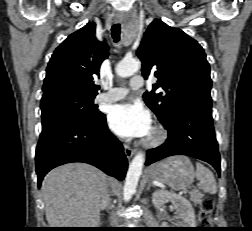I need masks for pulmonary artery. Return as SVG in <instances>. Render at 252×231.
Returning <instances> with one entry per match:
<instances>
[{
    "mask_svg": "<svg viewBox=\"0 0 252 231\" xmlns=\"http://www.w3.org/2000/svg\"><path fill=\"white\" fill-rule=\"evenodd\" d=\"M144 79L141 75L133 76L129 81L131 89H139L144 86ZM129 92L128 88L125 87H114L111 88L107 93L99 94L96 97L98 103H111L124 98Z\"/></svg>",
    "mask_w": 252,
    "mask_h": 231,
    "instance_id": "e3ab8cb5",
    "label": "pulmonary artery"
}]
</instances>
